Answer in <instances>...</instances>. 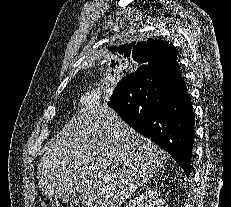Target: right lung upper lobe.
I'll list each match as a JSON object with an SVG mask.
<instances>
[{
    "label": "right lung upper lobe",
    "instance_id": "1",
    "mask_svg": "<svg viewBox=\"0 0 231 207\" xmlns=\"http://www.w3.org/2000/svg\"><path fill=\"white\" fill-rule=\"evenodd\" d=\"M109 50L117 55V63L120 64L133 59L141 64L140 67L157 64L166 69L178 65L176 62L177 49L159 39L113 46Z\"/></svg>",
    "mask_w": 231,
    "mask_h": 207
}]
</instances>
